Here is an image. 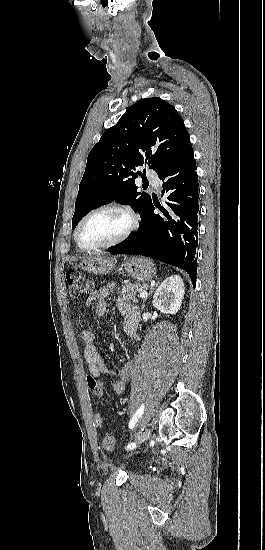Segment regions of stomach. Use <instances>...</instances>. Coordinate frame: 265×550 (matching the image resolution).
<instances>
[{"mask_svg": "<svg viewBox=\"0 0 265 550\" xmlns=\"http://www.w3.org/2000/svg\"><path fill=\"white\" fill-rule=\"evenodd\" d=\"M117 260L104 255H91L82 259L78 267L93 274H106L112 271ZM121 266L126 273L137 281H148L155 275L153 262L144 257L124 258Z\"/></svg>", "mask_w": 265, "mask_h": 550, "instance_id": "obj_1", "label": "stomach"}]
</instances>
